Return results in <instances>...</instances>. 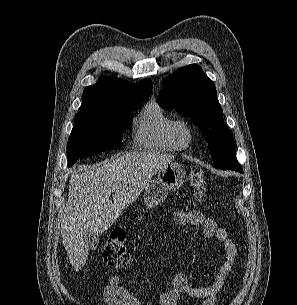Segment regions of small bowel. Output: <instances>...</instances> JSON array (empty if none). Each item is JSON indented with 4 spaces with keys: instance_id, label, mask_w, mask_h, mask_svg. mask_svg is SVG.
I'll return each instance as SVG.
<instances>
[{
    "instance_id": "obj_1",
    "label": "small bowel",
    "mask_w": 297,
    "mask_h": 305,
    "mask_svg": "<svg viewBox=\"0 0 297 305\" xmlns=\"http://www.w3.org/2000/svg\"><path fill=\"white\" fill-rule=\"evenodd\" d=\"M173 221L176 225L200 226L204 235L208 238L215 237L223 244L224 256L215 281L210 285L193 286L189 283L185 273L174 275L170 287L165 290L159 298V305H179L181 296L187 295L194 299H200L199 305H213L235 264L237 254L236 247L228 233L217 223L205 217L200 211L193 210L185 212L177 210L173 213ZM106 305H143L141 301L128 289L121 286L119 276L110 274L103 289Z\"/></svg>"
}]
</instances>
